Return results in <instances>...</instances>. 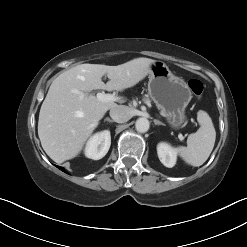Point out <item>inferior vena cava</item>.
I'll list each match as a JSON object with an SVG mask.
<instances>
[{
    "instance_id": "1",
    "label": "inferior vena cava",
    "mask_w": 247,
    "mask_h": 247,
    "mask_svg": "<svg viewBox=\"0 0 247 247\" xmlns=\"http://www.w3.org/2000/svg\"><path fill=\"white\" fill-rule=\"evenodd\" d=\"M110 117L117 123H125L132 117L131 109L125 105H118L110 110Z\"/></svg>"
}]
</instances>
